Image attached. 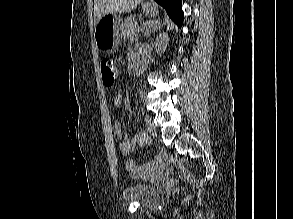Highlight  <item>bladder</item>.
Wrapping results in <instances>:
<instances>
[{
  "instance_id": "obj_1",
  "label": "bladder",
  "mask_w": 293,
  "mask_h": 219,
  "mask_svg": "<svg viewBox=\"0 0 293 219\" xmlns=\"http://www.w3.org/2000/svg\"><path fill=\"white\" fill-rule=\"evenodd\" d=\"M163 197L162 190L146 183H134L123 190V198L147 207L156 206Z\"/></svg>"
}]
</instances>
